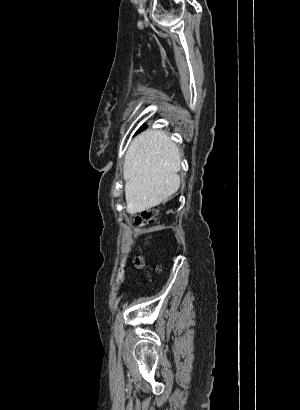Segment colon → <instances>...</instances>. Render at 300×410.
<instances>
[{"instance_id": "obj_1", "label": "colon", "mask_w": 300, "mask_h": 410, "mask_svg": "<svg viewBox=\"0 0 300 410\" xmlns=\"http://www.w3.org/2000/svg\"><path fill=\"white\" fill-rule=\"evenodd\" d=\"M157 221L156 218V213L153 210H148V211H144L141 214H139L138 216L135 217L134 219V224L140 227H145L148 225H152L155 224ZM136 263L138 265L142 264V260L141 259H137ZM121 277H122V273H121Z\"/></svg>"}]
</instances>
